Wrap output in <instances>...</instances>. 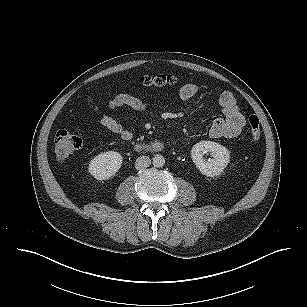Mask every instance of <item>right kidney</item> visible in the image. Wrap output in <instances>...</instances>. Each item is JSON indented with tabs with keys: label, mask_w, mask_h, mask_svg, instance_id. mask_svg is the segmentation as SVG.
I'll use <instances>...</instances> for the list:
<instances>
[{
	"label": "right kidney",
	"mask_w": 307,
	"mask_h": 307,
	"mask_svg": "<svg viewBox=\"0 0 307 307\" xmlns=\"http://www.w3.org/2000/svg\"><path fill=\"white\" fill-rule=\"evenodd\" d=\"M123 158L116 151H108L94 157L89 164V173L97 180L114 176L122 166Z\"/></svg>",
	"instance_id": "1"
}]
</instances>
